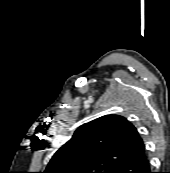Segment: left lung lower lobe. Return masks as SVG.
I'll return each mask as SVG.
<instances>
[{
  "label": "left lung lower lobe",
  "mask_w": 170,
  "mask_h": 173,
  "mask_svg": "<svg viewBox=\"0 0 170 173\" xmlns=\"http://www.w3.org/2000/svg\"><path fill=\"white\" fill-rule=\"evenodd\" d=\"M115 173H152L146 153L136 156L121 165Z\"/></svg>",
  "instance_id": "left-lung-lower-lobe-1"
}]
</instances>
